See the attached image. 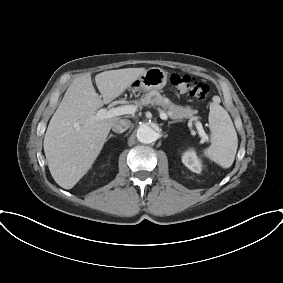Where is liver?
Returning <instances> with one entry per match:
<instances>
[{
	"label": "liver",
	"instance_id": "obj_1",
	"mask_svg": "<svg viewBox=\"0 0 283 283\" xmlns=\"http://www.w3.org/2000/svg\"><path fill=\"white\" fill-rule=\"evenodd\" d=\"M145 71L124 68L97 74L101 95L96 93L90 73L70 84L49 122L43 144L50 173L59 186L71 189L88 172L120 119H99L98 109L122 95Z\"/></svg>",
	"mask_w": 283,
	"mask_h": 283
}]
</instances>
